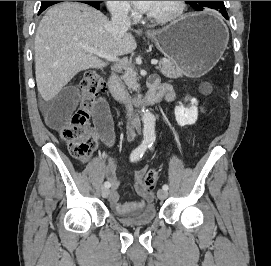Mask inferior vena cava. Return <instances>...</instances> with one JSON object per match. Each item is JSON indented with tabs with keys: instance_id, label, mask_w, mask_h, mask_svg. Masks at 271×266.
I'll return each instance as SVG.
<instances>
[{
	"instance_id": "obj_1",
	"label": "inferior vena cava",
	"mask_w": 271,
	"mask_h": 266,
	"mask_svg": "<svg viewBox=\"0 0 271 266\" xmlns=\"http://www.w3.org/2000/svg\"><path fill=\"white\" fill-rule=\"evenodd\" d=\"M129 6L127 4L114 6L111 10L112 20L110 22V31L116 42L127 32L131 26L128 16ZM128 116L132 114L133 107L131 104L126 105Z\"/></svg>"
}]
</instances>
